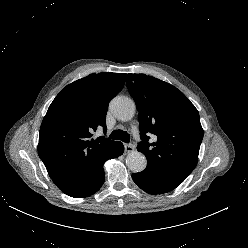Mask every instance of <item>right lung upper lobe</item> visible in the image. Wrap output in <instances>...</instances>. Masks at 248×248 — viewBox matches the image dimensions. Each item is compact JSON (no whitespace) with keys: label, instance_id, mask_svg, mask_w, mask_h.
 I'll return each mask as SVG.
<instances>
[{"label":"right lung upper lobe","instance_id":"right-lung-upper-lobe-1","mask_svg":"<svg viewBox=\"0 0 248 248\" xmlns=\"http://www.w3.org/2000/svg\"><path fill=\"white\" fill-rule=\"evenodd\" d=\"M125 73L91 74L67 85L42 121L38 154L56 186L64 193L82 187L108 160L115 141L92 139L106 130L108 104L124 86Z\"/></svg>","mask_w":248,"mask_h":248}]
</instances>
